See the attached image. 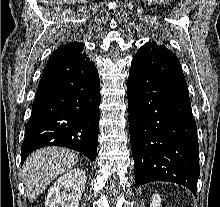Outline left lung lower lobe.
<instances>
[{"label":"left lung lower lobe","mask_w":220,"mask_h":207,"mask_svg":"<svg viewBox=\"0 0 220 207\" xmlns=\"http://www.w3.org/2000/svg\"><path fill=\"white\" fill-rule=\"evenodd\" d=\"M127 95L136 185L174 182L196 196L200 173L196 123L174 53L154 42L141 47L132 60Z\"/></svg>","instance_id":"1"}]
</instances>
